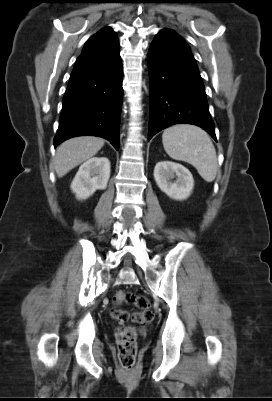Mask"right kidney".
<instances>
[{
  "instance_id": "right-kidney-1",
  "label": "right kidney",
  "mask_w": 272,
  "mask_h": 401,
  "mask_svg": "<svg viewBox=\"0 0 272 401\" xmlns=\"http://www.w3.org/2000/svg\"><path fill=\"white\" fill-rule=\"evenodd\" d=\"M110 178V161L106 157H93L83 163L71 183L77 199L85 200L96 190H104Z\"/></svg>"
}]
</instances>
